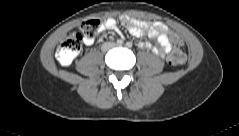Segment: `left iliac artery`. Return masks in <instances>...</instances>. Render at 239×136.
<instances>
[{
    "instance_id": "obj_1",
    "label": "left iliac artery",
    "mask_w": 239,
    "mask_h": 136,
    "mask_svg": "<svg viewBox=\"0 0 239 136\" xmlns=\"http://www.w3.org/2000/svg\"><path fill=\"white\" fill-rule=\"evenodd\" d=\"M126 45H127L128 47H132V43H131V42H127Z\"/></svg>"
}]
</instances>
